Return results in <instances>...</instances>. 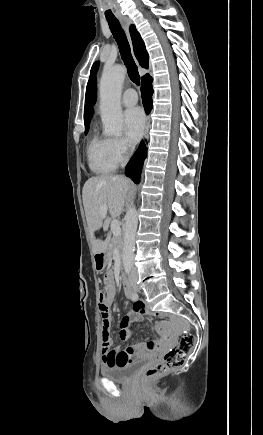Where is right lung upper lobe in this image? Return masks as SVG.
<instances>
[{"label": "right lung upper lobe", "instance_id": "obj_1", "mask_svg": "<svg viewBox=\"0 0 263 435\" xmlns=\"http://www.w3.org/2000/svg\"><path fill=\"white\" fill-rule=\"evenodd\" d=\"M130 34H131L133 47H134V53H135L136 58L138 59L140 65L142 67L148 68L149 55L146 51L145 44H144L139 32L136 30L134 25H131V27H130ZM145 76H143V77H145ZM96 97H97V87H96V81H95L94 86H93V90H92L91 99H90L89 103H87L85 105V108H84L85 131H88V129H89V122H90L91 113H92L91 106H93L95 104Z\"/></svg>", "mask_w": 263, "mask_h": 435}]
</instances>
